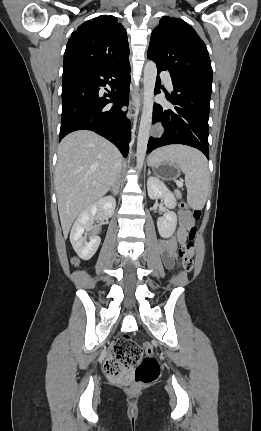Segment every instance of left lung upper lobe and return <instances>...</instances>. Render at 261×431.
I'll return each instance as SVG.
<instances>
[{"mask_svg":"<svg viewBox=\"0 0 261 431\" xmlns=\"http://www.w3.org/2000/svg\"><path fill=\"white\" fill-rule=\"evenodd\" d=\"M147 56L175 78L212 84V67L206 45L181 19L162 17L152 31Z\"/></svg>","mask_w":261,"mask_h":431,"instance_id":"left-lung-upper-lobe-1","label":"left lung upper lobe"}]
</instances>
